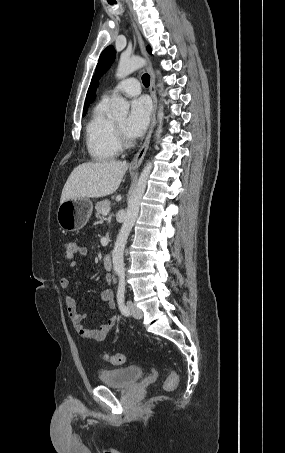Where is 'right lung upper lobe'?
Segmentation results:
<instances>
[{
    "label": "right lung upper lobe",
    "mask_w": 285,
    "mask_h": 453,
    "mask_svg": "<svg viewBox=\"0 0 285 453\" xmlns=\"http://www.w3.org/2000/svg\"><path fill=\"white\" fill-rule=\"evenodd\" d=\"M98 86V82L95 80V77L92 78L91 80V84L89 86V89H88V92H87V96H86V101H85V107H84V112L87 111V107H88V103L95 91V89L97 88Z\"/></svg>",
    "instance_id": "right-lung-upper-lobe-1"
}]
</instances>
